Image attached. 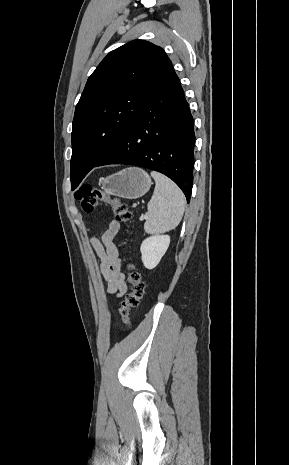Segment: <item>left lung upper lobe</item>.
Segmentation results:
<instances>
[{
  "label": "left lung upper lobe",
  "instance_id": "5c2ea615",
  "mask_svg": "<svg viewBox=\"0 0 289 465\" xmlns=\"http://www.w3.org/2000/svg\"><path fill=\"white\" fill-rule=\"evenodd\" d=\"M174 73L164 50L144 40L128 42L102 60L75 109L72 190L114 146L149 95Z\"/></svg>",
  "mask_w": 289,
  "mask_h": 465
}]
</instances>
